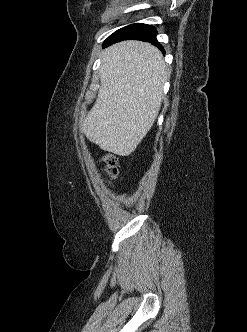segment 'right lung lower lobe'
I'll return each mask as SVG.
<instances>
[{
	"label": "right lung lower lobe",
	"instance_id": "98d812e1",
	"mask_svg": "<svg viewBox=\"0 0 247 332\" xmlns=\"http://www.w3.org/2000/svg\"><path fill=\"white\" fill-rule=\"evenodd\" d=\"M157 31L150 25L146 24H131L124 28H121L110 35L103 43V47H107L113 43L123 40H141L152 42V44L162 48V46L156 40ZM164 52V51H163Z\"/></svg>",
	"mask_w": 247,
	"mask_h": 332
}]
</instances>
